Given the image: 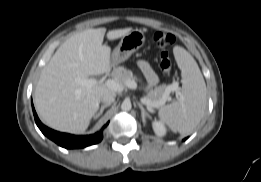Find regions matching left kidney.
Wrapping results in <instances>:
<instances>
[{
    "label": "left kidney",
    "mask_w": 261,
    "mask_h": 182,
    "mask_svg": "<svg viewBox=\"0 0 261 182\" xmlns=\"http://www.w3.org/2000/svg\"><path fill=\"white\" fill-rule=\"evenodd\" d=\"M152 126H153V130H154L155 134L159 137L164 136L167 132V129L162 122L154 121L152 123Z\"/></svg>",
    "instance_id": "obj_1"
}]
</instances>
